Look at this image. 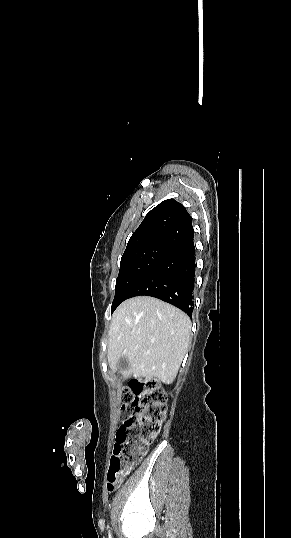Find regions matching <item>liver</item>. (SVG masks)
<instances>
[{"label": "liver", "instance_id": "1", "mask_svg": "<svg viewBox=\"0 0 291 538\" xmlns=\"http://www.w3.org/2000/svg\"><path fill=\"white\" fill-rule=\"evenodd\" d=\"M190 318L178 308L153 297L125 300L114 312L109 331L108 361L118 369L125 357L124 378L159 379L171 383L190 343Z\"/></svg>", "mask_w": 291, "mask_h": 538}]
</instances>
